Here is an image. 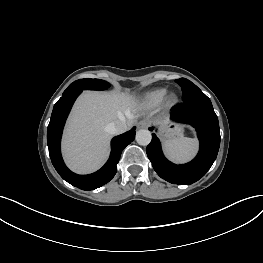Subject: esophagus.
<instances>
[{
    "instance_id": "esophagus-1",
    "label": "esophagus",
    "mask_w": 263,
    "mask_h": 263,
    "mask_svg": "<svg viewBox=\"0 0 263 263\" xmlns=\"http://www.w3.org/2000/svg\"><path fill=\"white\" fill-rule=\"evenodd\" d=\"M149 121L148 120H141L138 122L137 126L138 128L142 129V128H147L149 126Z\"/></svg>"
}]
</instances>
